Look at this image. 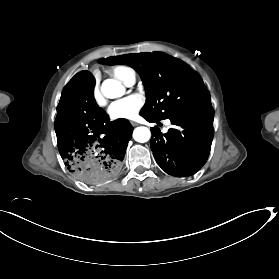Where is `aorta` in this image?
I'll use <instances>...</instances> for the list:
<instances>
[{"label": "aorta", "mask_w": 279, "mask_h": 279, "mask_svg": "<svg viewBox=\"0 0 279 279\" xmlns=\"http://www.w3.org/2000/svg\"><path fill=\"white\" fill-rule=\"evenodd\" d=\"M101 92L105 97L114 99L124 95L125 87L119 81L106 79L102 83ZM150 137L151 132L147 127H137L133 131V138L137 142L145 143L150 139Z\"/></svg>", "instance_id": "obj_1"}]
</instances>
